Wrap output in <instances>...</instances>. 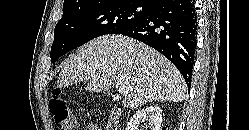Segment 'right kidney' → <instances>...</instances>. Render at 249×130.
Masks as SVG:
<instances>
[{
  "instance_id": "1",
  "label": "right kidney",
  "mask_w": 249,
  "mask_h": 130,
  "mask_svg": "<svg viewBox=\"0 0 249 130\" xmlns=\"http://www.w3.org/2000/svg\"><path fill=\"white\" fill-rule=\"evenodd\" d=\"M148 122L149 130H160L162 123V110L157 105H150L138 110L127 123L126 130H139V126Z\"/></svg>"
}]
</instances>
